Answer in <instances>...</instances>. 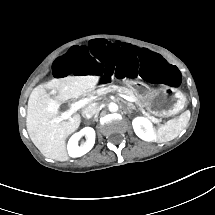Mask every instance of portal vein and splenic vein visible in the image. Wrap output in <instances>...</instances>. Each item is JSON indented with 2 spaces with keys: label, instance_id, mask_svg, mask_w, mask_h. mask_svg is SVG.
I'll use <instances>...</instances> for the list:
<instances>
[{
  "label": "portal vein and splenic vein",
  "instance_id": "portal-vein-and-splenic-vein-1",
  "mask_svg": "<svg viewBox=\"0 0 215 215\" xmlns=\"http://www.w3.org/2000/svg\"><path fill=\"white\" fill-rule=\"evenodd\" d=\"M121 97H123L124 99H126L127 101H133V99L129 96L126 95H121ZM85 104L84 101H78L74 104H72L71 108L65 113L64 116L61 117H56L54 118L52 121L54 123H60L61 121L68 119L71 117V115L76 112L78 109H80L83 105Z\"/></svg>",
  "mask_w": 215,
  "mask_h": 215
}]
</instances>
